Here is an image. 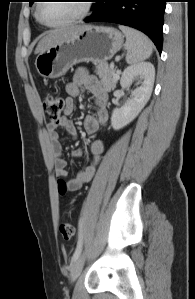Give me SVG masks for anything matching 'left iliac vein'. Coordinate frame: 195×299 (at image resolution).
I'll return each mask as SVG.
<instances>
[{
	"label": "left iliac vein",
	"instance_id": "obj_1",
	"mask_svg": "<svg viewBox=\"0 0 195 299\" xmlns=\"http://www.w3.org/2000/svg\"><path fill=\"white\" fill-rule=\"evenodd\" d=\"M84 264V254H80L78 258L74 261L70 271V280L75 282L79 277Z\"/></svg>",
	"mask_w": 195,
	"mask_h": 299
}]
</instances>
